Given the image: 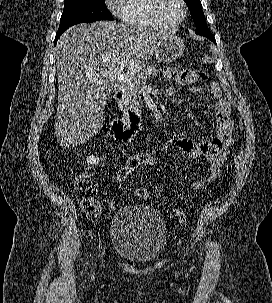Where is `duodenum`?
Returning a JSON list of instances; mask_svg holds the SVG:
<instances>
[{
    "mask_svg": "<svg viewBox=\"0 0 272 303\" xmlns=\"http://www.w3.org/2000/svg\"><path fill=\"white\" fill-rule=\"evenodd\" d=\"M115 100L119 117H115L105 126V133L115 141L125 143L131 140L140 125L139 114L126 104L123 84L114 85Z\"/></svg>",
    "mask_w": 272,
    "mask_h": 303,
    "instance_id": "duodenum-1",
    "label": "duodenum"
}]
</instances>
